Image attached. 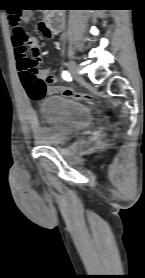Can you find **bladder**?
Returning <instances> with one entry per match:
<instances>
[{"mask_svg": "<svg viewBox=\"0 0 145 278\" xmlns=\"http://www.w3.org/2000/svg\"><path fill=\"white\" fill-rule=\"evenodd\" d=\"M43 126L35 134V142L60 146L91 125V108L81 100L54 94L41 104Z\"/></svg>", "mask_w": 145, "mask_h": 278, "instance_id": "31cf9c89", "label": "bladder"}]
</instances>
